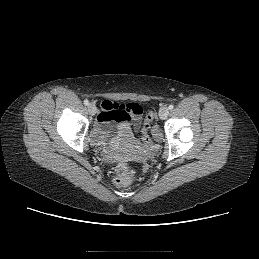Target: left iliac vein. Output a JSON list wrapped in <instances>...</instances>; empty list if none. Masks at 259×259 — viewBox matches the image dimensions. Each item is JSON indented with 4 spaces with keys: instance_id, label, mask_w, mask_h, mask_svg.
Listing matches in <instances>:
<instances>
[{
    "instance_id": "4c4485c4",
    "label": "left iliac vein",
    "mask_w": 259,
    "mask_h": 259,
    "mask_svg": "<svg viewBox=\"0 0 259 259\" xmlns=\"http://www.w3.org/2000/svg\"><path fill=\"white\" fill-rule=\"evenodd\" d=\"M169 115V109L167 107H162L159 111V117L160 119L164 120L168 117Z\"/></svg>"
}]
</instances>
